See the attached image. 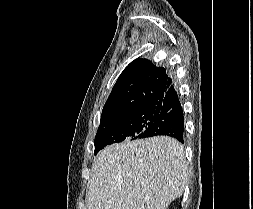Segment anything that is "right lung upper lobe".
Wrapping results in <instances>:
<instances>
[{
	"instance_id": "1",
	"label": "right lung upper lobe",
	"mask_w": 253,
	"mask_h": 209,
	"mask_svg": "<svg viewBox=\"0 0 253 209\" xmlns=\"http://www.w3.org/2000/svg\"><path fill=\"white\" fill-rule=\"evenodd\" d=\"M172 85L165 68L150 60L136 59L121 73L101 115V122L118 117L132 109L153 106Z\"/></svg>"
}]
</instances>
